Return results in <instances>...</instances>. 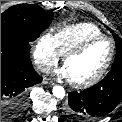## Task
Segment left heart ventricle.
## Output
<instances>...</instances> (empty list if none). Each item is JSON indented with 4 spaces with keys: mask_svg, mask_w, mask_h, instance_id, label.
Instances as JSON below:
<instances>
[{
    "mask_svg": "<svg viewBox=\"0 0 122 122\" xmlns=\"http://www.w3.org/2000/svg\"><path fill=\"white\" fill-rule=\"evenodd\" d=\"M110 54V43L106 40L90 45L79 55L69 58L64 66L70 80L84 81L93 77L105 64Z\"/></svg>",
    "mask_w": 122,
    "mask_h": 122,
    "instance_id": "1",
    "label": "left heart ventricle"
}]
</instances>
